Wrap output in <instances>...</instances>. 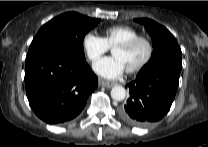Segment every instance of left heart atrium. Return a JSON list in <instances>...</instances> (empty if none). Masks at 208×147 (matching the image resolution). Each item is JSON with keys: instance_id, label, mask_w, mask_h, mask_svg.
<instances>
[{"instance_id": "1", "label": "left heart atrium", "mask_w": 208, "mask_h": 147, "mask_svg": "<svg viewBox=\"0 0 208 147\" xmlns=\"http://www.w3.org/2000/svg\"><path fill=\"white\" fill-rule=\"evenodd\" d=\"M94 70L100 76L107 79H116L127 70L123 61L118 57L100 59L94 64Z\"/></svg>"}]
</instances>
